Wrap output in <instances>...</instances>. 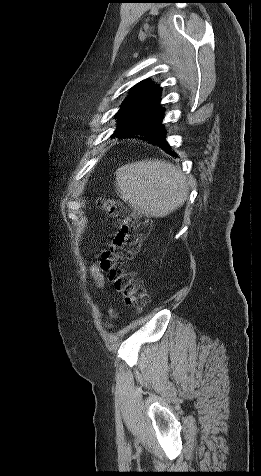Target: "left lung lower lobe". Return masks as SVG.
Listing matches in <instances>:
<instances>
[{"instance_id":"0a47b994","label":"left lung lower lobe","mask_w":261,"mask_h":476,"mask_svg":"<svg viewBox=\"0 0 261 476\" xmlns=\"http://www.w3.org/2000/svg\"><path fill=\"white\" fill-rule=\"evenodd\" d=\"M162 117L163 115L151 120L131 122L125 127L118 128L111 137L126 138V135L128 134H140L142 136L135 138L148 141L149 143L158 146L169 155L177 156L165 140L166 131L161 124Z\"/></svg>"}]
</instances>
